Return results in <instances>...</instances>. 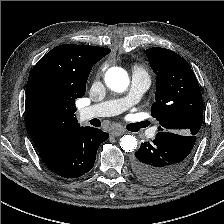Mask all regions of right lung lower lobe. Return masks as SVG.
Listing matches in <instances>:
<instances>
[{
	"label": "right lung lower lobe",
	"mask_w": 224,
	"mask_h": 224,
	"mask_svg": "<svg viewBox=\"0 0 224 224\" xmlns=\"http://www.w3.org/2000/svg\"><path fill=\"white\" fill-rule=\"evenodd\" d=\"M108 138L100 129L74 126L54 137L38 152L51 171L64 178H77L91 170L99 145Z\"/></svg>",
	"instance_id": "right-lung-lower-lobe-1"
}]
</instances>
